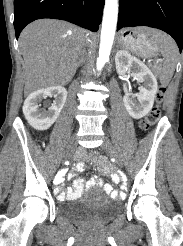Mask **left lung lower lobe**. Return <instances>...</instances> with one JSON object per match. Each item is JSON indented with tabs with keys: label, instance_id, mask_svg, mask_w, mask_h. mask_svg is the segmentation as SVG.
I'll return each mask as SVG.
<instances>
[{
	"label": "left lung lower lobe",
	"instance_id": "obj_1",
	"mask_svg": "<svg viewBox=\"0 0 183 246\" xmlns=\"http://www.w3.org/2000/svg\"><path fill=\"white\" fill-rule=\"evenodd\" d=\"M149 26L165 31L183 49V0H120L117 30Z\"/></svg>",
	"mask_w": 183,
	"mask_h": 246
}]
</instances>
